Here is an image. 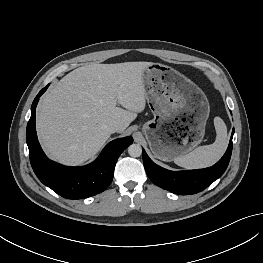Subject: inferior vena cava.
Segmentation results:
<instances>
[{"label": "inferior vena cava", "mask_w": 263, "mask_h": 263, "mask_svg": "<svg viewBox=\"0 0 263 263\" xmlns=\"http://www.w3.org/2000/svg\"><path fill=\"white\" fill-rule=\"evenodd\" d=\"M105 128L109 133H115L119 130L120 126L118 123L112 122L106 125Z\"/></svg>", "instance_id": "obj_1"}]
</instances>
